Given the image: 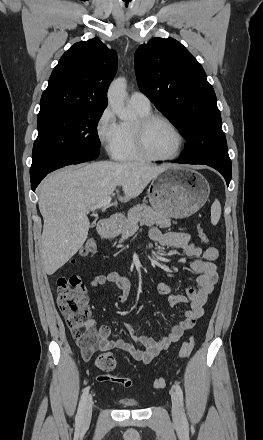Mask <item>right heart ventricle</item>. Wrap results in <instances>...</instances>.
Here are the masks:
<instances>
[{
    "label": "right heart ventricle",
    "mask_w": 263,
    "mask_h": 440,
    "mask_svg": "<svg viewBox=\"0 0 263 440\" xmlns=\"http://www.w3.org/2000/svg\"><path fill=\"white\" fill-rule=\"evenodd\" d=\"M139 117L150 114V110H137L135 109ZM123 138L120 147L115 154V158L122 161H136L143 158L135 151L134 142L131 132V126L122 125Z\"/></svg>",
    "instance_id": "obj_1"
}]
</instances>
